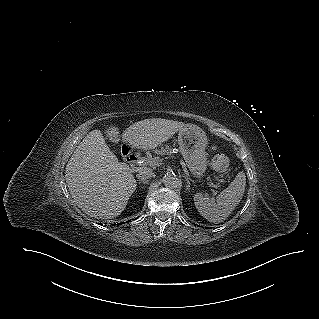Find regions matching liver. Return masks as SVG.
I'll return each mask as SVG.
<instances>
[{
    "label": "liver",
    "mask_w": 319,
    "mask_h": 319,
    "mask_svg": "<svg viewBox=\"0 0 319 319\" xmlns=\"http://www.w3.org/2000/svg\"><path fill=\"white\" fill-rule=\"evenodd\" d=\"M183 122L145 119L129 126L121 135L129 147L154 149L184 129ZM148 168H137L139 171ZM133 170L118 162L100 130H93L79 143L66 165V183L77 206L87 215L111 219L119 216L135 191Z\"/></svg>",
    "instance_id": "obj_1"
}]
</instances>
